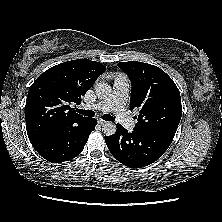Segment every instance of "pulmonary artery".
Segmentation results:
<instances>
[{
    "label": "pulmonary artery",
    "instance_id": "pulmonary-artery-1",
    "mask_svg": "<svg viewBox=\"0 0 222 222\" xmlns=\"http://www.w3.org/2000/svg\"><path fill=\"white\" fill-rule=\"evenodd\" d=\"M130 83L126 76L118 75L113 84L112 93L104 100L88 106L91 110L112 111L116 120L128 130H133L135 121L126 111Z\"/></svg>",
    "mask_w": 222,
    "mask_h": 222
}]
</instances>
